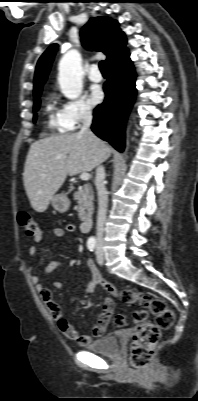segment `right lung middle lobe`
I'll return each instance as SVG.
<instances>
[{
	"label": "right lung middle lobe",
	"instance_id": "obj_1",
	"mask_svg": "<svg viewBox=\"0 0 198 401\" xmlns=\"http://www.w3.org/2000/svg\"><path fill=\"white\" fill-rule=\"evenodd\" d=\"M40 94L41 93H39V94H36V95H34V112H36V111H38L39 110V106H40V99H39V97H40ZM36 120V114H34V121Z\"/></svg>",
	"mask_w": 198,
	"mask_h": 401
}]
</instances>
